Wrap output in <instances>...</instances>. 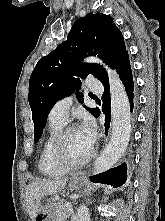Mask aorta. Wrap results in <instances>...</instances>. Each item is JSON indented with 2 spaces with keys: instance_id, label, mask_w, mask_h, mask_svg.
<instances>
[{
  "instance_id": "1",
  "label": "aorta",
  "mask_w": 165,
  "mask_h": 221,
  "mask_svg": "<svg viewBox=\"0 0 165 221\" xmlns=\"http://www.w3.org/2000/svg\"><path fill=\"white\" fill-rule=\"evenodd\" d=\"M88 61L102 64L97 58ZM104 67L110 85L112 134L110 142L94 163L93 174L105 172L118 162L128 146L131 133L130 104L125 87L115 71ZM75 221H90L89 210L85 205L78 207Z\"/></svg>"
}]
</instances>
